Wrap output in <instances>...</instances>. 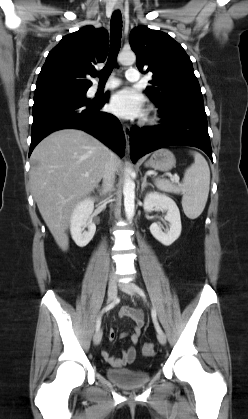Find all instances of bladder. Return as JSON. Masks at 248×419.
<instances>
[{"label":"bladder","instance_id":"obj_1","mask_svg":"<svg viewBox=\"0 0 248 419\" xmlns=\"http://www.w3.org/2000/svg\"><path fill=\"white\" fill-rule=\"evenodd\" d=\"M106 377L119 387L125 389L139 388L146 385L150 379L149 371L136 370L134 368H108Z\"/></svg>","mask_w":248,"mask_h":419}]
</instances>
